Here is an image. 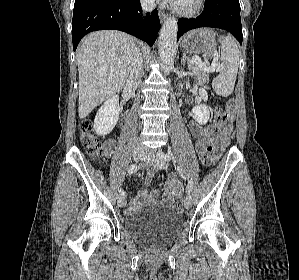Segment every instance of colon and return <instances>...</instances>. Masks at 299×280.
<instances>
[{
	"label": "colon",
	"instance_id": "colon-1",
	"mask_svg": "<svg viewBox=\"0 0 299 280\" xmlns=\"http://www.w3.org/2000/svg\"><path fill=\"white\" fill-rule=\"evenodd\" d=\"M229 109L234 107V102L229 101L227 104ZM228 120V115L220 107L214 109V119L213 126L216 131H220L224 128ZM80 140L81 144L86 150L87 154L95 159H100L104 155V149L102 144L96 134L93 124L89 120H85L80 125ZM201 162L203 165L208 166L211 164L212 151L210 148H207L202 155L200 156ZM174 208L177 212L183 211L182 201H177L174 205Z\"/></svg>",
	"mask_w": 299,
	"mask_h": 280
}]
</instances>
